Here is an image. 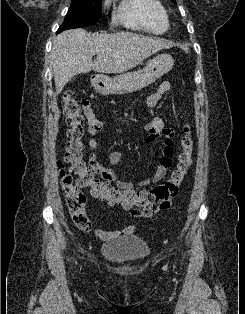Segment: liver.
I'll list each match as a JSON object with an SVG mask.
<instances>
[{"label": "liver", "instance_id": "liver-1", "mask_svg": "<svg viewBox=\"0 0 245 314\" xmlns=\"http://www.w3.org/2000/svg\"><path fill=\"white\" fill-rule=\"evenodd\" d=\"M173 43L137 33H87L71 29L54 38L50 53L56 88L59 94L75 75L95 71L123 73L142 63L154 53L168 49ZM97 55L93 62V55Z\"/></svg>", "mask_w": 245, "mask_h": 314}]
</instances>
